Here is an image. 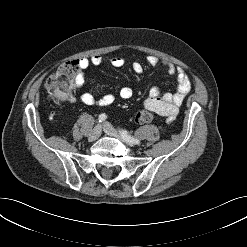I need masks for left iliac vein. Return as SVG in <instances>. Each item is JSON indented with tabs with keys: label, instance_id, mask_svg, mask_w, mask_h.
Segmentation results:
<instances>
[{
	"label": "left iliac vein",
	"instance_id": "1",
	"mask_svg": "<svg viewBox=\"0 0 247 247\" xmlns=\"http://www.w3.org/2000/svg\"><path fill=\"white\" fill-rule=\"evenodd\" d=\"M103 130L106 134L113 136L115 138H118L120 140H122L123 142L128 143L129 145H133V143L128 142L121 134L119 131H117L110 123L105 122L103 124Z\"/></svg>",
	"mask_w": 247,
	"mask_h": 247
}]
</instances>
